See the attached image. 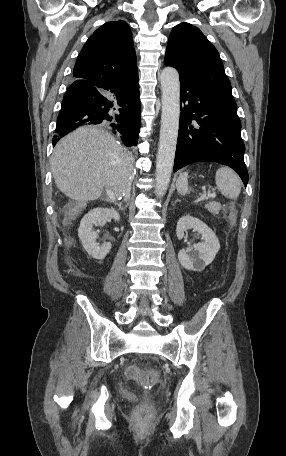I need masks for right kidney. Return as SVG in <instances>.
I'll use <instances>...</instances> for the list:
<instances>
[{
    "mask_svg": "<svg viewBox=\"0 0 286 456\" xmlns=\"http://www.w3.org/2000/svg\"><path fill=\"white\" fill-rule=\"evenodd\" d=\"M109 219L119 221L120 215L115 209L97 207L90 210L80 222L78 236L83 248L94 259H104L111 249V243L100 246L96 242L98 233L93 230V226H104Z\"/></svg>",
    "mask_w": 286,
    "mask_h": 456,
    "instance_id": "ca27d5eb",
    "label": "right kidney"
}]
</instances>
